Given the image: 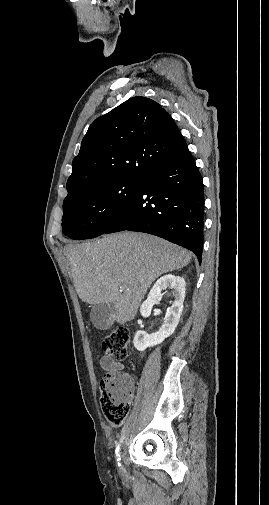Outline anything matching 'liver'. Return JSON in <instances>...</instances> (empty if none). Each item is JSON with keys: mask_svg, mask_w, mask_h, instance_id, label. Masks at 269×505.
Listing matches in <instances>:
<instances>
[{"mask_svg": "<svg viewBox=\"0 0 269 505\" xmlns=\"http://www.w3.org/2000/svg\"><path fill=\"white\" fill-rule=\"evenodd\" d=\"M74 287L88 304H113L119 324L131 321L161 274L189 264L191 253L159 237L121 232L64 248ZM122 290V291H120Z\"/></svg>", "mask_w": 269, "mask_h": 505, "instance_id": "liver-1", "label": "liver"}]
</instances>
